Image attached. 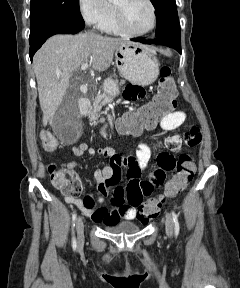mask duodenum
Wrapping results in <instances>:
<instances>
[{
    "mask_svg": "<svg viewBox=\"0 0 240 288\" xmlns=\"http://www.w3.org/2000/svg\"><path fill=\"white\" fill-rule=\"evenodd\" d=\"M89 107H90V102L88 99L86 98H82L79 101V108L81 113L86 114L89 111Z\"/></svg>",
    "mask_w": 240,
    "mask_h": 288,
    "instance_id": "1",
    "label": "duodenum"
}]
</instances>
